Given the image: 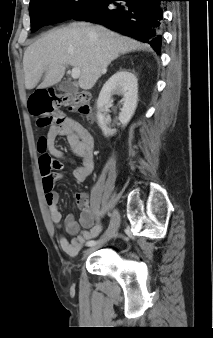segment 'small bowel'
Instances as JSON below:
<instances>
[{
	"label": "small bowel",
	"instance_id": "small-bowel-1",
	"mask_svg": "<svg viewBox=\"0 0 213 338\" xmlns=\"http://www.w3.org/2000/svg\"><path fill=\"white\" fill-rule=\"evenodd\" d=\"M60 136L67 139L74 156L82 161V165L73 171V176L78 182H84L94 169V137L77 120L67 117L61 125L50 127L46 134L37 138V149L41 154L39 168L45 203L50 221L56 230L62 229V215L59 211L60 196L54 188V183L64 177L63 161L68 160L66 153L56 146V140ZM75 199L77 207L83 211V214L78 222L72 217H67L65 220L66 232L72 236V239L68 240L63 233H57L58 244L69 257L77 256L85 242L92 240L101 231V225L93 222L87 194L79 192Z\"/></svg>",
	"mask_w": 213,
	"mask_h": 338
}]
</instances>
